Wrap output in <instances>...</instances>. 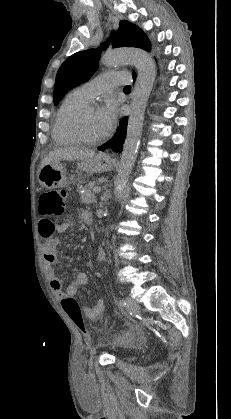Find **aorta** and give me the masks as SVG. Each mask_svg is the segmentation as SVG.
Masks as SVG:
<instances>
[{
	"label": "aorta",
	"mask_w": 231,
	"mask_h": 419,
	"mask_svg": "<svg viewBox=\"0 0 231 419\" xmlns=\"http://www.w3.org/2000/svg\"><path fill=\"white\" fill-rule=\"evenodd\" d=\"M102 63L109 67L131 63L137 69V79L131 93L126 139L115 182L116 191H119L127 183L137 158L145 109L156 78V68L151 56L138 49H116L107 52L102 57Z\"/></svg>",
	"instance_id": "762f6f07"
}]
</instances>
